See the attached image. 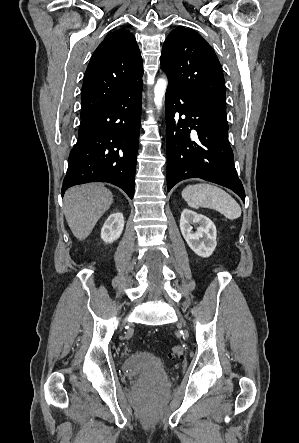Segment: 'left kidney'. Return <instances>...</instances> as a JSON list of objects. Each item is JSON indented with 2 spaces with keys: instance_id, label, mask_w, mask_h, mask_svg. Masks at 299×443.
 Instances as JSON below:
<instances>
[{
  "instance_id": "1",
  "label": "left kidney",
  "mask_w": 299,
  "mask_h": 443,
  "mask_svg": "<svg viewBox=\"0 0 299 443\" xmlns=\"http://www.w3.org/2000/svg\"><path fill=\"white\" fill-rule=\"evenodd\" d=\"M198 224L193 232L192 224ZM180 230L188 246L200 257L211 256L217 245V231L214 223L202 214L184 209L180 218Z\"/></svg>"
}]
</instances>
